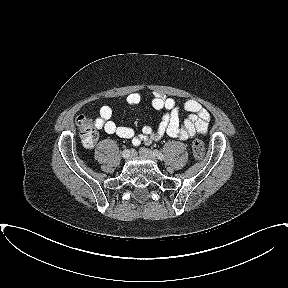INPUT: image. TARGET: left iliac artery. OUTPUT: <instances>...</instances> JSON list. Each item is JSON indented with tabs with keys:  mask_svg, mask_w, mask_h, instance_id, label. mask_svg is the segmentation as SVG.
Instances as JSON below:
<instances>
[{
	"mask_svg": "<svg viewBox=\"0 0 288 288\" xmlns=\"http://www.w3.org/2000/svg\"><path fill=\"white\" fill-rule=\"evenodd\" d=\"M153 154H154L155 156H157V158L160 159V160H163V159H164V155H163L161 152H159L158 150H155V151L153 152Z\"/></svg>",
	"mask_w": 288,
	"mask_h": 288,
	"instance_id": "left-iliac-artery-1",
	"label": "left iliac artery"
}]
</instances>
